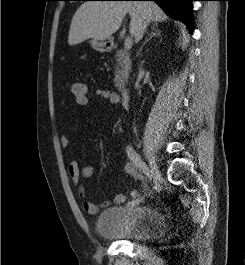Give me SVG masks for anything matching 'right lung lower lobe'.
I'll return each instance as SVG.
<instances>
[{
  "mask_svg": "<svg viewBox=\"0 0 245 265\" xmlns=\"http://www.w3.org/2000/svg\"><path fill=\"white\" fill-rule=\"evenodd\" d=\"M119 1H155L171 17L186 23L190 33L192 26V1L194 0H119Z\"/></svg>",
  "mask_w": 245,
  "mask_h": 265,
  "instance_id": "98d812e1",
  "label": "right lung lower lobe"
}]
</instances>
